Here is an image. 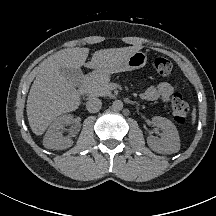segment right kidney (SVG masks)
<instances>
[{
    "label": "right kidney",
    "instance_id": "1",
    "mask_svg": "<svg viewBox=\"0 0 216 216\" xmlns=\"http://www.w3.org/2000/svg\"><path fill=\"white\" fill-rule=\"evenodd\" d=\"M72 120L73 116L70 114L56 118L45 134L43 139L44 147L54 150H62L71 147L73 145V140L70 137H64L61 130L65 125L70 124Z\"/></svg>",
    "mask_w": 216,
    "mask_h": 216
}]
</instances>
